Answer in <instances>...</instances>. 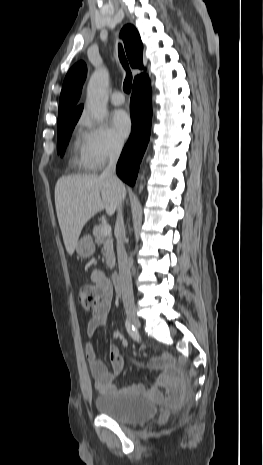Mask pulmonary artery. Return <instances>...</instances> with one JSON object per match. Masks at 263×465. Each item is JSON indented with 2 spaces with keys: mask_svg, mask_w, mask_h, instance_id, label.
<instances>
[{
  "mask_svg": "<svg viewBox=\"0 0 263 465\" xmlns=\"http://www.w3.org/2000/svg\"><path fill=\"white\" fill-rule=\"evenodd\" d=\"M110 101L113 105L120 106L124 103L125 98L120 91H116L112 94Z\"/></svg>",
  "mask_w": 263,
  "mask_h": 465,
  "instance_id": "pulmonary-artery-1",
  "label": "pulmonary artery"
}]
</instances>
